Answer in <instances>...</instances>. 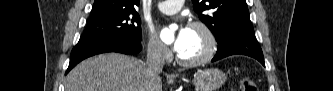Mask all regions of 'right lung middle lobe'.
I'll return each instance as SVG.
<instances>
[{
    "instance_id": "dd1d6c3e",
    "label": "right lung middle lobe",
    "mask_w": 333,
    "mask_h": 91,
    "mask_svg": "<svg viewBox=\"0 0 333 91\" xmlns=\"http://www.w3.org/2000/svg\"><path fill=\"white\" fill-rule=\"evenodd\" d=\"M83 35H119L141 41V19L135 10L90 18Z\"/></svg>"
}]
</instances>
